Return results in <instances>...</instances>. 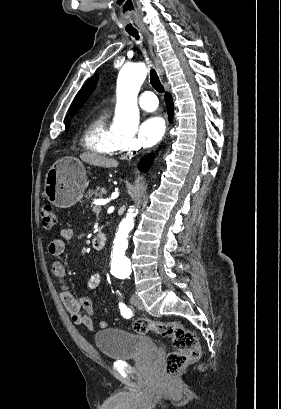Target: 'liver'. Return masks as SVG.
I'll list each match as a JSON object with an SVG mask.
<instances>
[{
    "instance_id": "liver-1",
    "label": "liver",
    "mask_w": 281,
    "mask_h": 409,
    "mask_svg": "<svg viewBox=\"0 0 281 409\" xmlns=\"http://www.w3.org/2000/svg\"><path fill=\"white\" fill-rule=\"evenodd\" d=\"M81 160L88 162V164H93V166H104V168H111V166H118V160L115 158H108V156H102L98 152H93V150H88V152H82L80 154Z\"/></svg>"
}]
</instances>
